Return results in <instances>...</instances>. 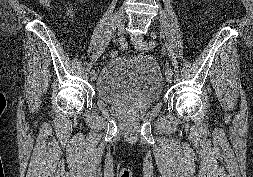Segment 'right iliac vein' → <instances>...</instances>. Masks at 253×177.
Masks as SVG:
<instances>
[{
	"instance_id": "1",
	"label": "right iliac vein",
	"mask_w": 253,
	"mask_h": 177,
	"mask_svg": "<svg viewBox=\"0 0 253 177\" xmlns=\"http://www.w3.org/2000/svg\"><path fill=\"white\" fill-rule=\"evenodd\" d=\"M117 19H118V35H119V36H122L123 33H124V23H123V19H122L121 16H118ZM97 75H98V74H97L96 71H95L94 73H91V80H92V81H95L96 78H97Z\"/></svg>"
}]
</instances>
